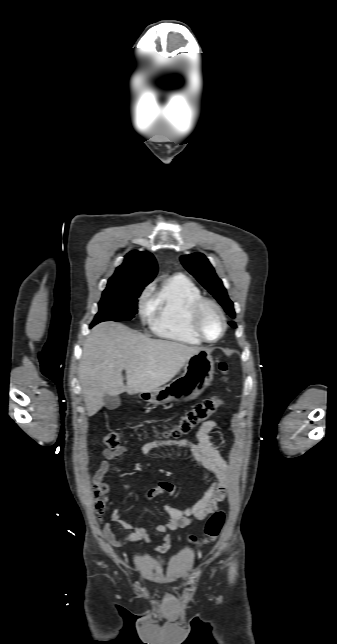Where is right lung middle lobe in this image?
<instances>
[{"mask_svg": "<svg viewBox=\"0 0 337 644\" xmlns=\"http://www.w3.org/2000/svg\"><path fill=\"white\" fill-rule=\"evenodd\" d=\"M145 285L106 288L98 304L99 311L90 327L103 321L131 320L137 313L138 297Z\"/></svg>", "mask_w": 337, "mask_h": 644, "instance_id": "dd1d6c3e", "label": "right lung middle lobe"}]
</instances>
